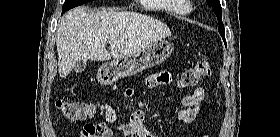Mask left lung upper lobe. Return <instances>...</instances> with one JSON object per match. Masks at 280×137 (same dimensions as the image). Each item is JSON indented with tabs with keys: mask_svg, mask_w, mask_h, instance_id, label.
<instances>
[{
	"mask_svg": "<svg viewBox=\"0 0 280 137\" xmlns=\"http://www.w3.org/2000/svg\"><path fill=\"white\" fill-rule=\"evenodd\" d=\"M206 1L213 8V11L217 16V19L219 21L218 31L226 46L225 31H224V25L222 23V15H221L222 8L220 5V1L219 0H206Z\"/></svg>",
	"mask_w": 280,
	"mask_h": 137,
	"instance_id": "left-lung-upper-lobe-1",
	"label": "left lung upper lobe"
}]
</instances>
